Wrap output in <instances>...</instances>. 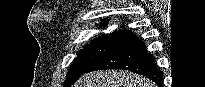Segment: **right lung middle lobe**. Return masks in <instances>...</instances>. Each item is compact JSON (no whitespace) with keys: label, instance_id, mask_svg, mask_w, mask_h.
Returning <instances> with one entry per match:
<instances>
[{"label":"right lung middle lobe","instance_id":"dd1d6c3e","mask_svg":"<svg viewBox=\"0 0 205 87\" xmlns=\"http://www.w3.org/2000/svg\"><path fill=\"white\" fill-rule=\"evenodd\" d=\"M132 36L130 33L115 32L93 39L75 58L66 75L64 87H70L93 64L122 45Z\"/></svg>","mask_w":205,"mask_h":87}]
</instances>
